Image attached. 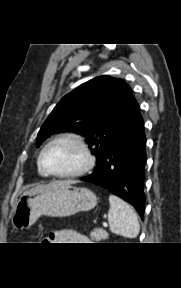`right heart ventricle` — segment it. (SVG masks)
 <instances>
[{"mask_svg": "<svg viewBox=\"0 0 181 288\" xmlns=\"http://www.w3.org/2000/svg\"><path fill=\"white\" fill-rule=\"evenodd\" d=\"M37 173L39 176L41 177H47L48 175L43 171V169L41 168L40 164H39V160L37 161Z\"/></svg>", "mask_w": 181, "mask_h": 288, "instance_id": "1", "label": "right heart ventricle"}]
</instances>
